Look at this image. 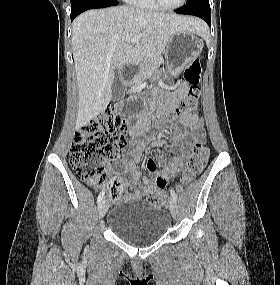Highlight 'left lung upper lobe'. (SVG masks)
<instances>
[{
    "label": "left lung upper lobe",
    "instance_id": "5c2ea615",
    "mask_svg": "<svg viewBox=\"0 0 280 285\" xmlns=\"http://www.w3.org/2000/svg\"><path fill=\"white\" fill-rule=\"evenodd\" d=\"M196 1H204V0H187V1H186V5L191 4V3H194V2H196Z\"/></svg>",
    "mask_w": 280,
    "mask_h": 285
}]
</instances>
